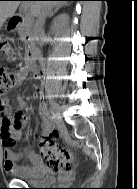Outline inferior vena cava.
<instances>
[{"mask_svg": "<svg viewBox=\"0 0 137 189\" xmlns=\"http://www.w3.org/2000/svg\"><path fill=\"white\" fill-rule=\"evenodd\" d=\"M50 10L51 9H43L37 15V19H36V22H35V24L33 26V30H32L33 36L36 41L43 35L45 19L49 15ZM38 54H40V51H38Z\"/></svg>", "mask_w": 137, "mask_h": 189, "instance_id": "inferior-vena-cava-1", "label": "inferior vena cava"}]
</instances>
